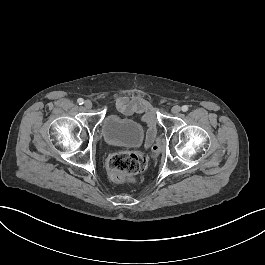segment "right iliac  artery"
<instances>
[{
    "instance_id": "82829eb1",
    "label": "right iliac artery",
    "mask_w": 265,
    "mask_h": 265,
    "mask_svg": "<svg viewBox=\"0 0 265 265\" xmlns=\"http://www.w3.org/2000/svg\"><path fill=\"white\" fill-rule=\"evenodd\" d=\"M77 102H78L79 105H82V104L84 103V100H83L82 98H79V99L77 100Z\"/></svg>"
}]
</instances>
